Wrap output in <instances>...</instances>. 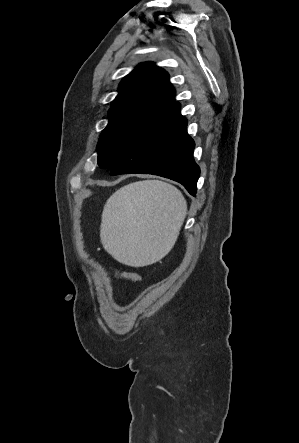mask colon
<instances>
[{
	"instance_id": "obj_1",
	"label": "colon",
	"mask_w": 299,
	"mask_h": 443,
	"mask_svg": "<svg viewBox=\"0 0 299 443\" xmlns=\"http://www.w3.org/2000/svg\"><path fill=\"white\" fill-rule=\"evenodd\" d=\"M112 276L117 280L126 281L132 284H136L140 280V276L134 272L112 271Z\"/></svg>"
}]
</instances>
